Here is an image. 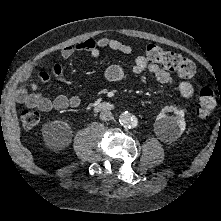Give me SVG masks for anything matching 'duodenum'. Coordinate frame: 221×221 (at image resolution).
Instances as JSON below:
<instances>
[{
	"mask_svg": "<svg viewBox=\"0 0 221 221\" xmlns=\"http://www.w3.org/2000/svg\"><path fill=\"white\" fill-rule=\"evenodd\" d=\"M98 109L103 111H110L113 109V105L110 103H102L99 105Z\"/></svg>",
	"mask_w": 221,
	"mask_h": 221,
	"instance_id": "1",
	"label": "duodenum"
}]
</instances>
